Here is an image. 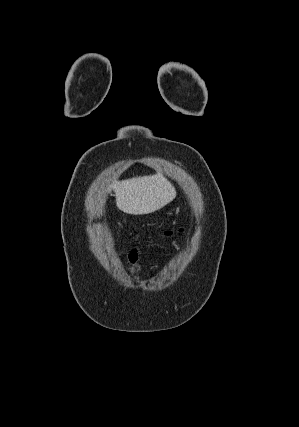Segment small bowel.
<instances>
[{"label": "small bowel", "instance_id": "1", "mask_svg": "<svg viewBox=\"0 0 299 427\" xmlns=\"http://www.w3.org/2000/svg\"><path fill=\"white\" fill-rule=\"evenodd\" d=\"M137 261H138V255H137V252H136V250H133V251L129 254V262H130L132 265H136Z\"/></svg>", "mask_w": 299, "mask_h": 427}]
</instances>
